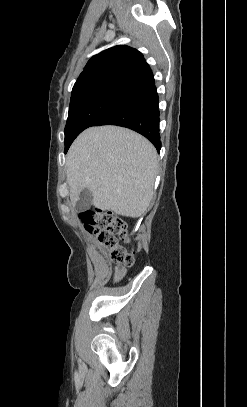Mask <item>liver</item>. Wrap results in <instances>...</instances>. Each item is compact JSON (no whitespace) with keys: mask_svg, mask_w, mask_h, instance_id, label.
Wrapping results in <instances>:
<instances>
[{"mask_svg":"<svg viewBox=\"0 0 247 407\" xmlns=\"http://www.w3.org/2000/svg\"><path fill=\"white\" fill-rule=\"evenodd\" d=\"M157 165L154 146L138 133L112 125L88 128L66 157L71 204L88 189L96 208L137 218L152 200Z\"/></svg>","mask_w":247,"mask_h":407,"instance_id":"6515ba94","label":"liver"}]
</instances>
